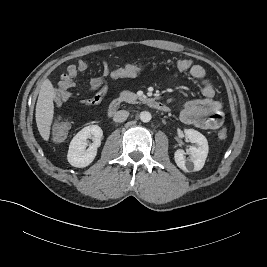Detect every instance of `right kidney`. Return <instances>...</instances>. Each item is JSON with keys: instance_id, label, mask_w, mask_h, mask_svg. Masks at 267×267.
Segmentation results:
<instances>
[{"instance_id": "1", "label": "right kidney", "mask_w": 267, "mask_h": 267, "mask_svg": "<svg viewBox=\"0 0 267 267\" xmlns=\"http://www.w3.org/2000/svg\"><path fill=\"white\" fill-rule=\"evenodd\" d=\"M102 129L98 125H90L79 131L71 140L67 154L68 162L78 168L86 167L93 162L97 154V148L101 143ZM93 139V143L87 147V139Z\"/></svg>"}]
</instances>
